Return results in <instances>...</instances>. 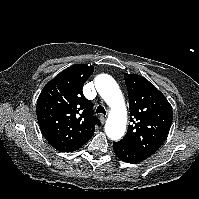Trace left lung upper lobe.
Returning <instances> with one entry per match:
<instances>
[{"mask_svg":"<svg viewBox=\"0 0 199 199\" xmlns=\"http://www.w3.org/2000/svg\"><path fill=\"white\" fill-rule=\"evenodd\" d=\"M129 95L130 122L121 142L151 156L165 141L173 119L170 103L146 78L124 74Z\"/></svg>","mask_w":199,"mask_h":199,"instance_id":"obj_1","label":"left lung upper lobe"}]
</instances>
